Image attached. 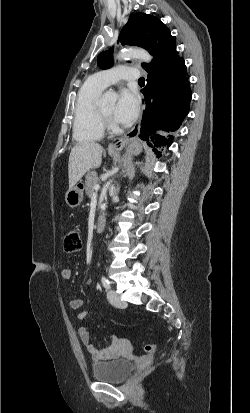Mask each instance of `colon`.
Returning <instances> with one entry per match:
<instances>
[{
    "label": "colon",
    "instance_id": "obj_1",
    "mask_svg": "<svg viewBox=\"0 0 250 413\" xmlns=\"http://www.w3.org/2000/svg\"><path fill=\"white\" fill-rule=\"evenodd\" d=\"M82 239L78 231H69L64 239V249L68 253L78 252L81 249ZM157 348L156 344H147L143 347L146 353H153Z\"/></svg>",
    "mask_w": 250,
    "mask_h": 413
}]
</instances>
